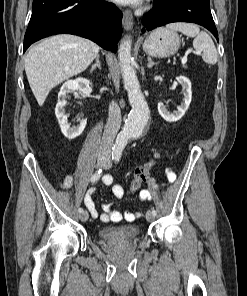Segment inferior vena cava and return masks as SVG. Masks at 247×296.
Returning a JSON list of instances; mask_svg holds the SVG:
<instances>
[{"instance_id": "602c4592", "label": "inferior vena cava", "mask_w": 247, "mask_h": 296, "mask_svg": "<svg viewBox=\"0 0 247 296\" xmlns=\"http://www.w3.org/2000/svg\"><path fill=\"white\" fill-rule=\"evenodd\" d=\"M106 123L101 145V152H110L121 125V111L118 104L112 101L109 105V115Z\"/></svg>"}]
</instances>
